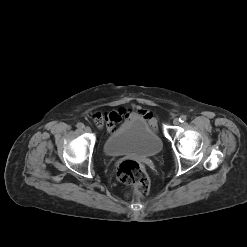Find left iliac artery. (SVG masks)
<instances>
[{
    "instance_id": "44dca946",
    "label": "left iliac artery",
    "mask_w": 247,
    "mask_h": 247,
    "mask_svg": "<svg viewBox=\"0 0 247 247\" xmlns=\"http://www.w3.org/2000/svg\"><path fill=\"white\" fill-rule=\"evenodd\" d=\"M187 120V117L185 115H181L180 118H179V121L181 123L185 122Z\"/></svg>"
}]
</instances>
